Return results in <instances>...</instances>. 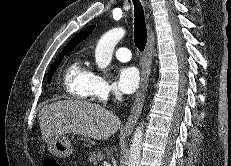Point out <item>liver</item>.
I'll return each mask as SVG.
<instances>
[{
    "mask_svg": "<svg viewBox=\"0 0 231 166\" xmlns=\"http://www.w3.org/2000/svg\"><path fill=\"white\" fill-rule=\"evenodd\" d=\"M43 140L53 136L77 134L105 140L120 129V119L100 105L67 100L45 105L39 112Z\"/></svg>",
    "mask_w": 231,
    "mask_h": 166,
    "instance_id": "liver-1",
    "label": "liver"
}]
</instances>
